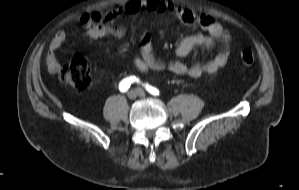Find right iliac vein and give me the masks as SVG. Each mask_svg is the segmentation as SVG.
I'll list each match as a JSON object with an SVG mask.
<instances>
[{"instance_id":"63e3f726","label":"right iliac vein","mask_w":299,"mask_h":190,"mask_svg":"<svg viewBox=\"0 0 299 190\" xmlns=\"http://www.w3.org/2000/svg\"><path fill=\"white\" fill-rule=\"evenodd\" d=\"M139 95L138 89L130 90L128 92V98L129 99H135Z\"/></svg>"}]
</instances>
